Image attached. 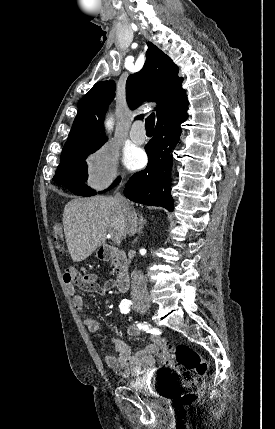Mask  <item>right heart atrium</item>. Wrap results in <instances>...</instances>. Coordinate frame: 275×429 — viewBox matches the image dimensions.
<instances>
[{
	"label": "right heart atrium",
	"mask_w": 275,
	"mask_h": 429,
	"mask_svg": "<svg viewBox=\"0 0 275 429\" xmlns=\"http://www.w3.org/2000/svg\"><path fill=\"white\" fill-rule=\"evenodd\" d=\"M87 183L94 189H104L119 178L118 153L109 145H103L85 159Z\"/></svg>",
	"instance_id": "1"
}]
</instances>
